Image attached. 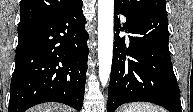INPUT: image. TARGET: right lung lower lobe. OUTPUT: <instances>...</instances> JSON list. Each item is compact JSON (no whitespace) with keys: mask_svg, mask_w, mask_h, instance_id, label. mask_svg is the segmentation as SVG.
<instances>
[{"mask_svg":"<svg viewBox=\"0 0 193 112\" xmlns=\"http://www.w3.org/2000/svg\"><path fill=\"white\" fill-rule=\"evenodd\" d=\"M82 0L67 10L18 32L9 112L44 102L80 111L87 71L88 34Z\"/></svg>","mask_w":193,"mask_h":112,"instance_id":"right-lung-lower-lobe-1","label":"right lung lower lobe"}]
</instances>
